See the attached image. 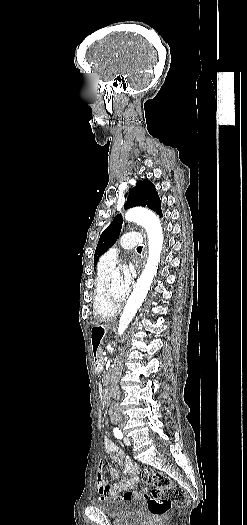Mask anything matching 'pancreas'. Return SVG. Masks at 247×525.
<instances>
[{
  "instance_id": "cf45deb5",
  "label": "pancreas",
  "mask_w": 247,
  "mask_h": 525,
  "mask_svg": "<svg viewBox=\"0 0 247 525\" xmlns=\"http://www.w3.org/2000/svg\"><path fill=\"white\" fill-rule=\"evenodd\" d=\"M103 353H105V350L103 348H99L97 350V356H96V359L98 361H102L104 359V356H103Z\"/></svg>"
}]
</instances>
